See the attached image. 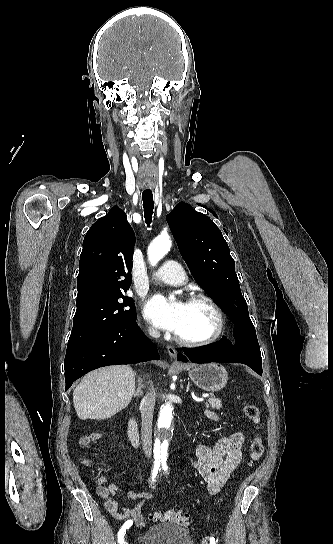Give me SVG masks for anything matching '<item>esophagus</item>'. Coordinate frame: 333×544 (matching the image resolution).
<instances>
[{
    "mask_svg": "<svg viewBox=\"0 0 333 544\" xmlns=\"http://www.w3.org/2000/svg\"><path fill=\"white\" fill-rule=\"evenodd\" d=\"M167 352H168V354H169V356H170L171 358H174V359H175V358L177 357V351L175 350L174 347H172V346H167Z\"/></svg>",
    "mask_w": 333,
    "mask_h": 544,
    "instance_id": "obj_1",
    "label": "esophagus"
}]
</instances>
